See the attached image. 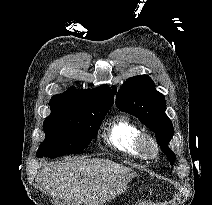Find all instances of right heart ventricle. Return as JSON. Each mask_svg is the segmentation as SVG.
I'll return each mask as SVG.
<instances>
[{
	"instance_id": "right-heart-ventricle-1",
	"label": "right heart ventricle",
	"mask_w": 212,
	"mask_h": 205,
	"mask_svg": "<svg viewBox=\"0 0 212 205\" xmlns=\"http://www.w3.org/2000/svg\"><path fill=\"white\" fill-rule=\"evenodd\" d=\"M138 136V128L122 116L112 120L104 135L106 142L111 147L128 155H138Z\"/></svg>"
}]
</instances>
